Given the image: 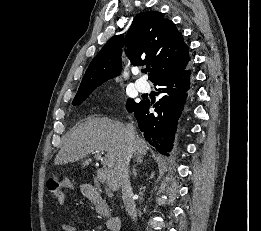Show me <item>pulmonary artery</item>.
Instances as JSON below:
<instances>
[{
	"label": "pulmonary artery",
	"mask_w": 261,
	"mask_h": 231,
	"mask_svg": "<svg viewBox=\"0 0 261 231\" xmlns=\"http://www.w3.org/2000/svg\"><path fill=\"white\" fill-rule=\"evenodd\" d=\"M135 84L141 92H146L148 90V83L144 79L136 80Z\"/></svg>",
	"instance_id": "obj_1"
}]
</instances>
